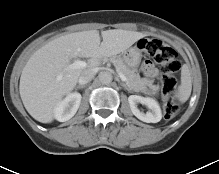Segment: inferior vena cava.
Returning <instances> with one entry per match:
<instances>
[{
    "label": "inferior vena cava",
    "mask_w": 219,
    "mask_h": 174,
    "mask_svg": "<svg viewBox=\"0 0 219 174\" xmlns=\"http://www.w3.org/2000/svg\"><path fill=\"white\" fill-rule=\"evenodd\" d=\"M96 74L94 69L85 70L79 77L78 82L80 85H85L90 82Z\"/></svg>",
    "instance_id": "obj_1"
}]
</instances>
